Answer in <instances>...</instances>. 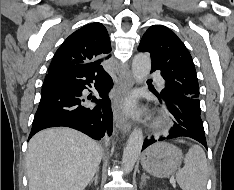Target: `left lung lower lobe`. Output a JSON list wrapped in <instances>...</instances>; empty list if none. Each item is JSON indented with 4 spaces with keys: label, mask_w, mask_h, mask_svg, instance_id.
<instances>
[{
    "label": "left lung lower lobe",
    "mask_w": 234,
    "mask_h": 190,
    "mask_svg": "<svg viewBox=\"0 0 234 190\" xmlns=\"http://www.w3.org/2000/svg\"><path fill=\"white\" fill-rule=\"evenodd\" d=\"M155 70H158V68L152 65L151 71L153 72ZM155 94L160 101L161 98L164 100L169 112L175 118V125L171 127L169 135L166 138L161 137L159 141L185 136L197 140L207 149L201 114L189 107L185 101L175 98L164 90H162L160 94ZM154 142H156L154 138H151L150 140L146 139L142 150Z\"/></svg>",
    "instance_id": "obj_1"
}]
</instances>
